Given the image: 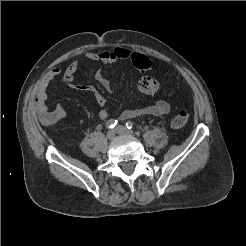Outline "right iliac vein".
Returning <instances> with one entry per match:
<instances>
[{
    "label": "right iliac vein",
    "mask_w": 246,
    "mask_h": 246,
    "mask_svg": "<svg viewBox=\"0 0 246 246\" xmlns=\"http://www.w3.org/2000/svg\"><path fill=\"white\" fill-rule=\"evenodd\" d=\"M107 138H108L109 140H113V139L115 138V131H114V130H109V131L107 132Z\"/></svg>",
    "instance_id": "1"
}]
</instances>
